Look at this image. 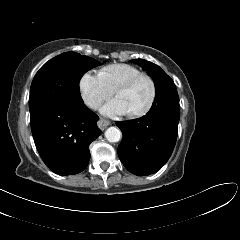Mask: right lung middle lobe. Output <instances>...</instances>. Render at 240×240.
<instances>
[{"instance_id":"dd1d6c3e","label":"right lung middle lobe","mask_w":240,"mask_h":240,"mask_svg":"<svg viewBox=\"0 0 240 240\" xmlns=\"http://www.w3.org/2000/svg\"><path fill=\"white\" fill-rule=\"evenodd\" d=\"M101 63L75 52H66L45 63L36 73L30 89V115L55 104L83 103L81 76Z\"/></svg>"}]
</instances>
